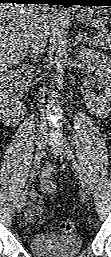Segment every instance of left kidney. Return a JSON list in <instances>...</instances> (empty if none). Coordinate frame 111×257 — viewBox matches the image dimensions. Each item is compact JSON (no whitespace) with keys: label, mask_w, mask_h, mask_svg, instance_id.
Listing matches in <instances>:
<instances>
[{"label":"left kidney","mask_w":111,"mask_h":257,"mask_svg":"<svg viewBox=\"0 0 111 257\" xmlns=\"http://www.w3.org/2000/svg\"><path fill=\"white\" fill-rule=\"evenodd\" d=\"M78 59L83 64L92 62L93 69L98 75V81L102 85L103 94L92 95L90 99V107L96 114H103L111 110V59L101 53L95 52L88 48H81Z\"/></svg>","instance_id":"left-kidney-1"}]
</instances>
